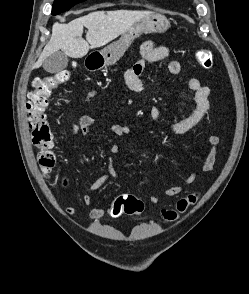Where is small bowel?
Listing matches in <instances>:
<instances>
[{
    "label": "small bowel",
    "instance_id": "c3829d8e",
    "mask_svg": "<svg viewBox=\"0 0 249 294\" xmlns=\"http://www.w3.org/2000/svg\"><path fill=\"white\" fill-rule=\"evenodd\" d=\"M139 53L140 59L135 64H133L126 72L127 85L129 89L133 91H139L142 89L141 75L145 67L148 64L160 62L166 59L170 54V50L166 46L157 45L152 41H146L140 46ZM168 70L172 75L180 74L182 71V65L180 61H170L168 65ZM188 87L193 93L195 109L188 117L180 121L173 122L169 125L170 131L174 134H185L191 131L206 116H208L211 111L209 103L210 88L208 86L202 85L201 82L196 78H191L188 81ZM95 93L96 92L94 90L88 92L86 95V100L91 99L95 95ZM148 114L151 119L157 120L162 116V111L157 106H151L149 108ZM93 124L94 119L91 116H81L79 121L71 126L70 133L74 134L79 131L83 136H89L92 132ZM110 131L115 137L119 139H123L131 135L130 129L121 124L112 125L110 127ZM219 146V137L215 135L210 136L208 139V152L204 164L201 168V171L203 173L211 172L214 169ZM120 150L121 146L118 143L113 144L110 148L112 154H117L118 152H120ZM199 175L200 174L196 171L191 172L181 184H177L175 186L167 188L164 191V194L168 197H174L180 194L186 186L193 184L197 180ZM116 177L117 173L113 167L112 157H110L108 162V172L94 180L90 184L89 190L91 192L98 191L104 187V185L108 182L110 178ZM67 184V180L64 179L63 187H67ZM149 200L151 203L156 204L159 201V195L153 194L150 196ZM82 203L83 205L81 206L73 205L67 207L66 213L69 216H72L80 212L84 206H88L92 203V196L90 194H85L82 198ZM109 209L107 210L104 206H96L89 211V218L92 220H99L106 213H108L111 216Z\"/></svg>",
    "mask_w": 249,
    "mask_h": 294
}]
</instances>
